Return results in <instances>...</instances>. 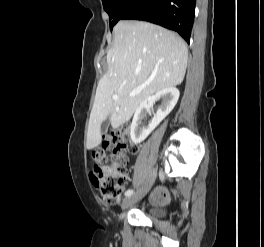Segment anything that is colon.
<instances>
[{"mask_svg":"<svg viewBox=\"0 0 264 247\" xmlns=\"http://www.w3.org/2000/svg\"><path fill=\"white\" fill-rule=\"evenodd\" d=\"M136 150L127 127L109 132L102 147L94 150L91 181L106 203L115 205L120 201L122 188L129 179L127 154ZM106 151H111L110 157Z\"/></svg>","mask_w":264,"mask_h":247,"instance_id":"obj_1","label":"colon"}]
</instances>
